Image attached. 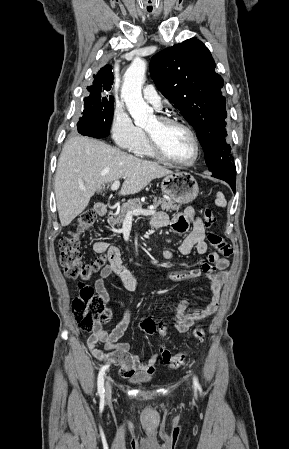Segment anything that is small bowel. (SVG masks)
I'll return each mask as SVG.
<instances>
[{
    "label": "small bowel",
    "mask_w": 289,
    "mask_h": 449,
    "mask_svg": "<svg viewBox=\"0 0 289 449\" xmlns=\"http://www.w3.org/2000/svg\"><path fill=\"white\" fill-rule=\"evenodd\" d=\"M151 223L156 228L170 225L176 234L186 233L191 225V231L180 244L179 252L182 255H189L193 250L199 255H204L208 252V245L205 240V226L193 207H187L183 213L176 214L171 220L165 213L159 212L152 217ZM93 250L96 253H105L108 258V264L100 271L94 282V289L103 300L107 302L110 300L105 281L111 276H115L127 291L132 292L136 289V279L123 265L121 252L118 247L109 246L105 241H96L93 244ZM162 256L167 260H172L174 253L170 249H164ZM208 262L203 264L202 268L173 271L169 275L173 281H185L195 279L205 272V276L209 281L210 297L206 306L199 310L188 311V301L186 299L178 302L175 310V328L179 333L187 332L196 322L211 316L217 309L220 292L224 280L228 276L229 261L227 258L217 254H210ZM115 310L114 307L105 310L102 318L95 325L94 332L87 340L89 348L100 360L120 366V374L124 378H130L135 374H153L156 370L155 364L160 358V353H155L148 360L141 361L137 354L130 352L129 343L120 341L131 323L132 313L129 308L121 309L122 318L110 332L103 328V324L109 321ZM99 343L104 344V351L97 348Z\"/></svg>",
    "instance_id": "1"
}]
</instances>
